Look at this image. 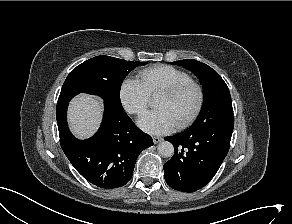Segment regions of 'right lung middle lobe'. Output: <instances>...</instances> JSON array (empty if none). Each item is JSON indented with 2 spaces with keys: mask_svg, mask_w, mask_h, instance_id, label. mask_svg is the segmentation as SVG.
Returning a JSON list of instances; mask_svg holds the SVG:
<instances>
[{
  "mask_svg": "<svg viewBox=\"0 0 292 224\" xmlns=\"http://www.w3.org/2000/svg\"><path fill=\"white\" fill-rule=\"evenodd\" d=\"M146 63L96 56L74 68L67 76L61 93L95 94L116 107H122L120 88L125 77L137 66Z\"/></svg>",
  "mask_w": 292,
  "mask_h": 224,
  "instance_id": "obj_1",
  "label": "right lung middle lobe"
}]
</instances>
